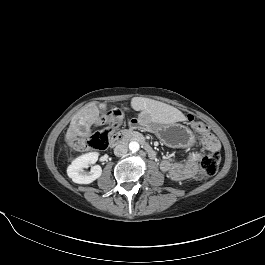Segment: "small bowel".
<instances>
[{
	"label": "small bowel",
	"instance_id": "1",
	"mask_svg": "<svg viewBox=\"0 0 265 265\" xmlns=\"http://www.w3.org/2000/svg\"><path fill=\"white\" fill-rule=\"evenodd\" d=\"M201 144L207 150L220 149V144L216 137L208 132L206 136H202ZM200 158L201 153L192 152L185 157L183 162L163 160L160 164V168L164 173L168 174L172 180L182 182L195 175Z\"/></svg>",
	"mask_w": 265,
	"mask_h": 265
}]
</instances>
